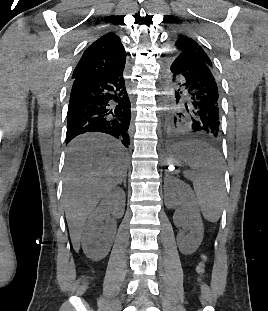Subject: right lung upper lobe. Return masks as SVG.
<instances>
[{
	"label": "right lung upper lobe",
	"mask_w": 268,
	"mask_h": 311,
	"mask_svg": "<svg viewBox=\"0 0 268 311\" xmlns=\"http://www.w3.org/2000/svg\"><path fill=\"white\" fill-rule=\"evenodd\" d=\"M125 62L124 46L120 38L110 32L101 36L85 50L72 78L118 72L124 69Z\"/></svg>",
	"instance_id": "cb5924a9"
}]
</instances>
